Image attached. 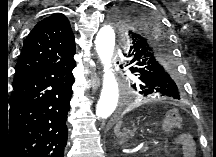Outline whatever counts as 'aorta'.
Returning a JSON list of instances; mask_svg holds the SVG:
<instances>
[{
    "label": "aorta",
    "instance_id": "1",
    "mask_svg": "<svg viewBox=\"0 0 216 157\" xmlns=\"http://www.w3.org/2000/svg\"><path fill=\"white\" fill-rule=\"evenodd\" d=\"M97 54L104 66L101 95L96 105V115L106 119L115 111L118 99V83L112 69V56L115 47V33L111 26H103L95 40Z\"/></svg>",
    "mask_w": 216,
    "mask_h": 157
}]
</instances>
